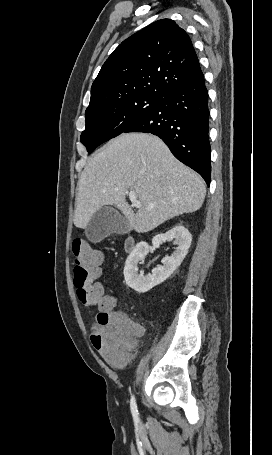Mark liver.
Returning a JSON list of instances; mask_svg holds the SVG:
<instances>
[{
  "mask_svg": "<svg viewBox=\"0 0 272 455\" xmlns=\"http://www.w3.org/2000/svg\"><path fill=\"white\" fill-rule=\"evenodd\" d=\"M141 202L135 213L128 192ZM206 188L201 177L179 162L165 143L146 133H123L87 163L78 181L74 224L86 228L107 205L118 208L128 230L145 233L183 213L199 210Z\"/></svg>",
  "mask_w": 272,
  "mask_h": 455,
  "instance_id": "obj_1",
  "label": "liver"
}]
</instances>
